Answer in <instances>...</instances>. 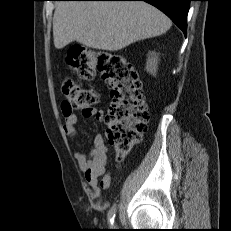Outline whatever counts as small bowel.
<instances>
[{"mask_svg": "<svg viewBox=\"0 0 231 231\" xmlns=\"http://www.w3.org/2000/svg\"><path fill=\"white\" fill-rule=\"evenodd\" d=\"M82 115L84 117L94 116L100 121L104 119L102 110H85ZM77 122L78 116L76 114H65L63 129L68 136L76 137L78 135ZM75 159L84 174L86 182L96 194H99L102 188L108 189L111 187L112 175L106 171L107 146L102 135H96L93 148L88 153L77 152Z\"/></svg>", "mask_w": 231, "mask_h": 231, "instance_id": "c3829d8e", "label": "small bowel"}]
</instances>
